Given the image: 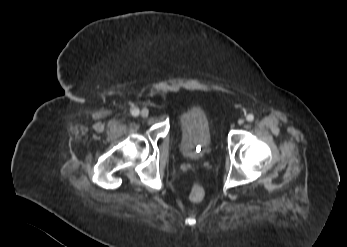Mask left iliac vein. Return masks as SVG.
Here are the masks:
<instances>
[{
	"instance_id": "obj_1",
	"label": "left iliac vein",
	"mask_w": 347,
	"mask_h": 247,
	"mask_svg": "<svg viewBox=\"0 0 347 247\" xmlns=\"http://www.w3.org/2000/svg\"><path fill=\"white\" fill-rule=\"evenodd\" d=\"M238 124H239V125L244 124V119H239V120H238Z\"/></svg>"
}]
</instances>
